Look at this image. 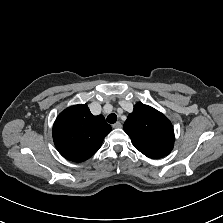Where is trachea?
<instances>
[{
    "label": "trachea",
    "instance_id": "1",
    "mask_svg": "<svg viewBox=\"0 0 223 223\" xmlns=\"http://www.w3.org/2000/svg\"><path fill=\"white\" fill-rule=\"evenodd\" d=\"M117 121L116 114L112 113L107 116V122L110 124H114Z\"/></svg>",
    "mask_w": 223,
    "mask_h": 223
}]
</instances>
